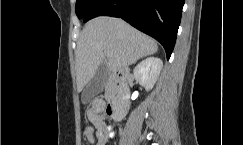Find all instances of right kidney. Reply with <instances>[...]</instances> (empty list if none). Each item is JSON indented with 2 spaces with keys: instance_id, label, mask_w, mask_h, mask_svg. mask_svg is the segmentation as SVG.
I'll return each mask as SVG.
<instances>
[{
  "instance_id": "right-kidney-1",
  "label": "right kidney",
  "mask_w": 243,
  "mask_h": 145,
  "mask_svg": "<svg viewBox=\"0 0 243 145\" xmlns=\"http://www.w3.org/2000/svg\"><path fill=\"white\" fill-rule=\"evenodd\" d=\"M163 67V62L157 57H148L134 69L136 81L149 91L155 85Z\"/></svg>"
}]
</instances>
